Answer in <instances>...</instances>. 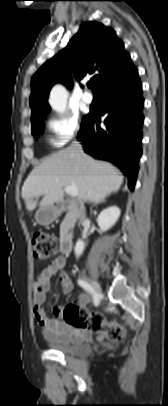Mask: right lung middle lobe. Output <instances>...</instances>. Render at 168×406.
I'll list each match as a JSON object with an SVG mask.
<instances>
[{"instance_id":"right-lung-middle-lobe-1","label":"right lung middle lobe","mask_w":168,"mask_h":406,"mask_svg":"<svg viewBox=\"0 0 168 406\" xmlns=\"http://www.w3.org/2000/svg\"><path fill=\"white\" fill-rule=\"evenodd\" d=\"M87 116V115H86ZM86 116H84L82 122L84 121V119L86 118ZM44 130V122L43 119L33 123L32 124V135H34L35 138H37L39 135H41L43 133Z\"/></svg>"}]
</instances>
